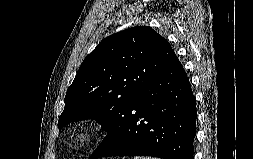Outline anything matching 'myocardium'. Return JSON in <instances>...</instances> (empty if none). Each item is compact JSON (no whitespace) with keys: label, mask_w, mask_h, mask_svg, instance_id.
Instances as JSON below:
<instances>
[{"label":"myocardium","mask_w":253,"mask_h":159,"mask_svg":"<svg viewBox=\"0 0 253 159\" xmlns=\"http://www.w3.org/2000/svg\"><path fill=\"white\" fill-rule=\"evenodd\" d=\"M102 126L94 121H87L80 124L73 136V144L79 148L84 149L92 144L100 135Z\"/></svg>","instance_id":"obj_1"}]
</instances>
